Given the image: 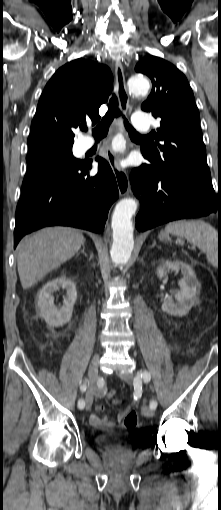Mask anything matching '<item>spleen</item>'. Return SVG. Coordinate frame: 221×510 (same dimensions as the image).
Wrapping results in <instances>:
<instances>
[{
    "instance_id": "1",
    "label": "spleen",
    "mask_w": 221,
    "mask_h": 510,
    "mask_svg": "<svg viewBox=\"0 0 221 510\" xmlns=\"http://www.w3.org/2000/svg\"><path fill=\"white\" fill-rule=\"evenodd\" d=\"M165 232L185 238L193 246L206 252L209 262H217L218 234L209 223L202 220L173 221L166 225Z\"/></svg>"
}]
</instances>
